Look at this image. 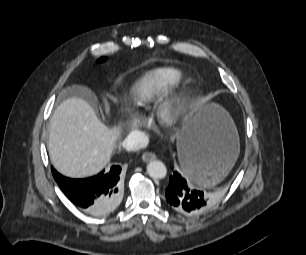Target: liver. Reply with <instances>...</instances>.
I'll return each mask as SVG.
<instances>
[{
  "label": "liver",
  "mask_w": 306,
  "mask_h": 255,
  "mask_svg": "<svg viewBox=\"0 0 306 255\" xmlns=\"http://www.w3.org/2000/svg\"><path fill=\"white\" fill-rule=\"evenodd\" d=\"M120 132V128H108L89 102L69 98L56 108L50 120V160L65 176L94 175L109 162Z\"/></svg>",
  "instance_id": "6515ba94"
}]
</instances>
